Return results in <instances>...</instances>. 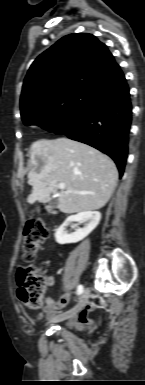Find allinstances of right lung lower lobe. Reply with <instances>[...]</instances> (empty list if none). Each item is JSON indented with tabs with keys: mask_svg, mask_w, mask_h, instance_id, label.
<instances>
[{
	"mask_svg": "<svg viewBox=\"0 0 145 385\" xmlns=\"http://www.w3.org/2000/svg\"><path fill=\"white\" fill-rule=\"evenodd\" d=\"M132 106L124 75L97 88L85 106L56 134L86 143L109 155L123 175Z\"/></svg>",
	"mask_w": 145,
	"mask_h": 385,
	"instance_id": "98d812e1",
	"label": "right lung lower lobe"
}]
</instances>
